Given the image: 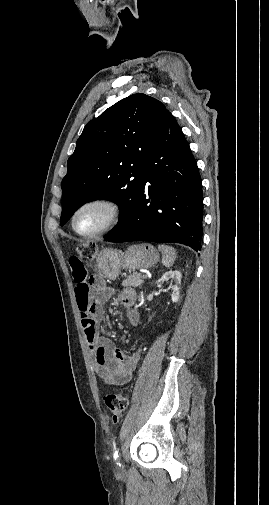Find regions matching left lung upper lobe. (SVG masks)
<instances>
[{
  "label": "left lung upper lobe",
  "instance_id": "left-lung-upper-lobe-1",
  "mask_svg": "<svg viewBox=\"0 0 269 505\" xmlns=\"http://www.w3.org/2000/svg\"><path fill=\"white\" fill-rule=\"evenodd\" d=\"M168 110L145 94L130 95L85 126L62 180L63 226L86 202H116L121 218L131 217L149 143Z\"/></svg>",
  "mask_w": 269,
  "mask_h": 505
}]
</instances>
